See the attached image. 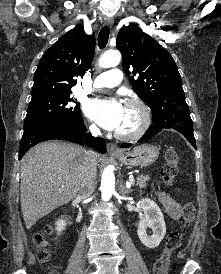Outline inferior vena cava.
Returning <instances> with one entry per match:
<instances>
[{"instance_id": "602c4592", "label": "inferior vena cava", "mask_w": 221, "mask_h": 274, "mask_svg": "<svg viewBox=\"0 0 221 274\" xmlns=\"http://www.w3.org/2000/svg\"><path fill=\"white\" fill-rule=\"evenodd\" d=\"M90 131L94 135H101L100 130L96 126H91ZM96 166V154L94 152L87 151L83 160L82 173L78 190V195L83 199H87L94 192L96 181Z\"/></svg>"}]
</instances>
